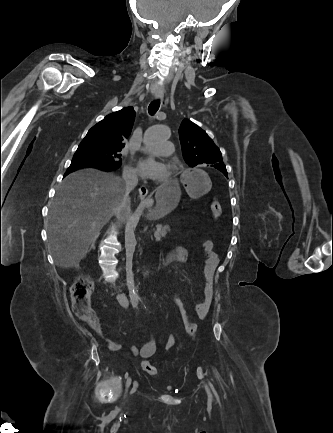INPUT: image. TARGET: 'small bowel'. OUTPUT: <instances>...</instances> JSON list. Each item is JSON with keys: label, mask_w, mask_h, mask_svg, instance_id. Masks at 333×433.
Masks as SVG:
<instances>
[{"label": "small bowel", "mask_w": 333, "mask_h": 433, "mask_svg": "<svg viewBox=\"0 0 333 433\" xmlns=\"http://www.w3.org/2000/svg\"><path fill=\"white\" fill-rule=\"evenodd\" d=\"M202 246L205 254L204 271L206 275H211L215 272L219 264V256L217 253L213 251V244L210 240H205ZM172 257L181 263H186L189 258V253L187 249L183 247H179L172 252ZM212 302H213V287L210 283L207 282L205 283L204 286L202 299L198 301L195 305L194 309L196 315L200 318H206L210 313ZM182 308L186 310L185 305H183ZM91 326L95 335L105 340L107 347L110 351L115 352L120 349L121 346L119 343L107 339L103 336L101 326L97 319L93 323H91ZM186 331L188 333L191 332V330H186ZM174 343H175L174 336L169 335L166 343V349L168 350L172 348ZM156 347L157 346L154 337L150 336L143 345L141 346L133 345L130 351L133 356H140L142 359L147 360L154 355V353L156 352Z\"/></svg>", "instance_id": "obj_1"}]
</instances>
